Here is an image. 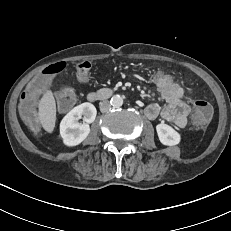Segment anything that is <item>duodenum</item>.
I'll use <instances>...</instances> for the list:
<instances>
[{
	"mask_svg": "<svg viewBox=\"0 0 231 231\" xmlns=\"http://www.w3.org/2000/svg\"><path fill=\"white\" fill-rule=\"evenodd\" d=\"M112 94H113L112 89H110V88H102V89H99L97 91L90 92L87 95V99L90 102H96V101H101V100L108 99V98H110L112 96Z\"/></svg>",
	"mask_w": 231,
	"mask_h": 231,
	"instance_id": "1",
	"label": "duodenum"
}]
</instances>
